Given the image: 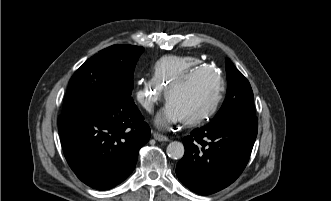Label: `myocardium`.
Returning a JSON list of instances; mask_svg holds the SVG:
<instances>
[{
	"mask_svg": "<svg viewBox=\"0 0 331 201\" xmlns=\"http://www.w3.org/2000/svg\"><path fill=\"white\" fill-rule=\"evenodd\" d=\"M202 72H211L216 76V78L219 82V90H218V93L215 96L214 100L212 101V103L204 111H202L200 114H198L194 117L181 119L182 122L186 125L197 124V123L203 121L204 119L210 117L211 115H213L216 112L217 108L219 107V105L223 99L224 93H225V81H224L222 75L217 73L213 68H210L208 66L196 68V69L189 71L185 75H183L180 78V80L178 81V83L175 86H173L172 88H168L167 92H166V101H167V103H170L172 96L174 95V93L176 91L186 87L187 84L197 74L202 73Z\"/></svg>",
	"mask_w": 331,
	"mask_h": 201,
	"instance_id": "obj_1",
	"label": "myocardium"
}]
</instances>
